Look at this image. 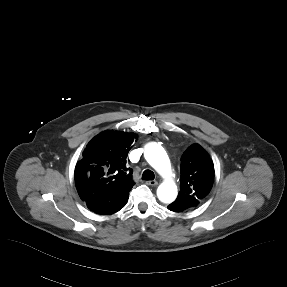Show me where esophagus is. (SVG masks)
Returning a JSON list of instances; mask_svg holds the SVG:
<instances>
[{
    "mask_svg": "<svg viewBox=\"0 0 287 287\" xmlns=\"http://www.w3.org/2000/svg\"><path fill=\"white\" fill-rule=\"evenodd\" d=\"M146 184L149 186H157L158 182L155 180L146 181Z\"/></svg>",
    "mask_w": 287,
    "mask_h": 287,
    "instance_id": "obj_1",
    "label": "esophagus"
}]
</instances>
